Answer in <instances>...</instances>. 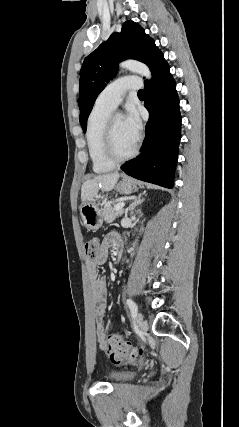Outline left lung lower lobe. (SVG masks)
Segmentation results:
<instances>
[{"label":"left lung lower lobe","mask_w":239,"mask_h":427,"mask_svg":"<svg viewBox=\"0 0 239 427\" xmlns=\"http://www.w3.org/2000/svg\"><path fill=\"white\" fill-rule=\"evenodd\" d=\"M144 106L150 118L141 154L122 165V170L136 179L173 188L174 171L181 138V115L176 83L165 62L145 81Z\"/></svg>","instance_id":"obj_1"}]
</instances>
